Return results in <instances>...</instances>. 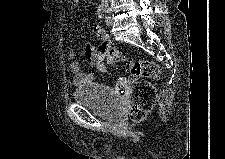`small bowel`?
Listing matches in <instances>:
<instances>
[{
	"label": "small bowel",
	"mask_w": 225,
	"mask_h": 159,
	"mask_svg": "<svg viewBox=\"0 0 225 159\" xmlns=\"http://www.w3.org/2000/svg\"><path fill=\"white\" fill-rule=\"evenodd\" d=\"M94 33L101 41V46L112 47L109 35L101 27H95ZM113 48V47H112ZM76 53L73 49H69L67 52V57L71 61L69 65L70 72L73 74V83L75 86H83L91 83L95 79L94 73H81L80 66L77 61H75ZM85 56L88 59L91 66L95 67L99 72H107V67L103 63V59L99 57L98 50L91 44H88L85 49ZM121 83L125 84L126 80H121Z\"/></svg>",
	"instance_id": "c3829d8e"
}]
</instances>
